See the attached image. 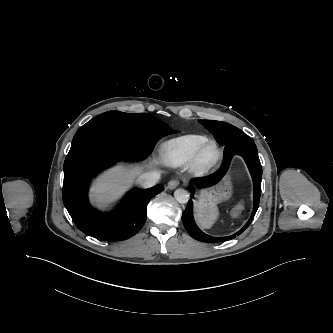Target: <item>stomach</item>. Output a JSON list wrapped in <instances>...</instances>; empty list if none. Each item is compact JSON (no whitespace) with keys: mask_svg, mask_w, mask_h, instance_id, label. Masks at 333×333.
<instances>
[{"mask_svg":"<svg viewBox=\"0 0 333 333\" xmlns=\"http://www.w3.org/2000/svg\"><path fill=\"white\" fill-rule=\"evenodd\" d=\"M231 195L232 183L229 174L201 191L195 202L196 219L199 225L209 228L218 218L217 204L229 200Z\"/></svg>","mask_w":333,"mask_h":333,"instance_id":"0dacf381","label":"stomach"}]
</instances>
